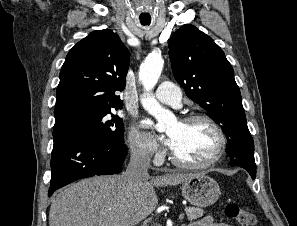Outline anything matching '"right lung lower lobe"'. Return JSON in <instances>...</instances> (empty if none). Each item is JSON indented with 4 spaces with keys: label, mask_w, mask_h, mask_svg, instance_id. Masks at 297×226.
<instances>
[{
    "label": "right lung lower lobe",
    "mask_w": 297,
    "mask_h": 226,
    "mask_svg": "<svg viewBox=\"0 0 297 226\" xmlns=\"http://www.w3.org/2000/svg\"><path fill=\"white\" fill-rule=\"evenodd\" d=\"M53 139L48 196L81 178L121 172L127 155L124 143H114L81 130L54 131Z\"/></svg>",
    "instance_id": "right-lung-lower-lobe-1"
}]
</instances>
